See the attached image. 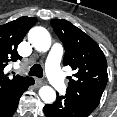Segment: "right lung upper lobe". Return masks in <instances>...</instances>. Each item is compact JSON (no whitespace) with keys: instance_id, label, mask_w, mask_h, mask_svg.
Instances as JSON below:
<instances>
[{"instance_id":"right-lung-upper-lobe-1","label":"right lung upper lobe","mask_w":117,"mask_h":117,"mask_svg":"<svg viewBox=\"0 0 117 117\" xmlns=\"http://www.w3.org/2000/svg\"><path fill=\"white\" fill-rule=\"evenodd\" d=\"M36 22V18L24 16L0 26V109L13 99L31 79V77L21 76L9 79L4 74V68L9 61L21 60L22 57L17 52L18 44Z\"/></svg>"}]
</instances>
